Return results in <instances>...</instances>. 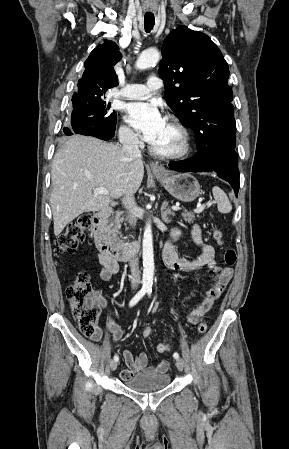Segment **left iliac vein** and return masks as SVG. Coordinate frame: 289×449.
<instances>
[{"label":"left iliac vein","mask_w":289,"mask_h":449,"mask_svg":"<svg viewBox=\"0 0 289 449\" xmlns=\"http://www.w3.org/2000/svg\"><path fill=\"white\" fill-rule=\"evenodd\" d=\"M176 367L179 371H183V369L185 367V363H184L183 359H181V358L176 359Z\"/></svg>","instance_id":"left-iliac-vein-1"}]
</instances>
